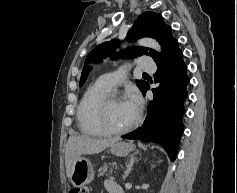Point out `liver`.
Returning a JSON list of instances; mask_svg holds the SVG:
<instances>
[{
	"label": "liver",
	"instance_id": "1",
	"mask_svg": "<svg viewBox=\"0 0 237 193\" xmlns=\"http://www.w3.org/2000/svg\"><path fill=\"white\" fill-rule=\"evenodd\" d=\"M118 140V138L95 139L89 136L71 135L65 149L67 177L71 178L74 163L81 155L98 154Z\"/></svg>",
	"mask_w": 237,
	"mask_h": 193
}]
</instances>
